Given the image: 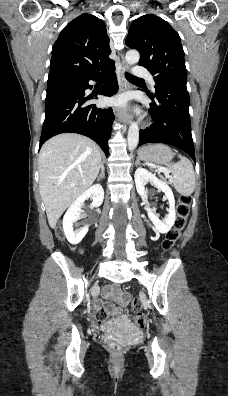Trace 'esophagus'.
Instances as JSON below:
<instances>
[{
  "label": "esophagus",
  "instance_id": "esophagus-1",
  "mask_svg": "<svg viewBox=\"0 0 228 396\" xmlns=\"http://www.w3.org/2000/svg\"><path fill=\"white\" fill-rule=\"evenodd\" d=\"M129 66L125 63L124 60H122L121 68H120V76H121V82H120V91H125L129 89V84L124 78V73L128 71ZM118 121L124 124H129L131 121V116L126 111L125 109H121L117 115Z\"/></svg>",
  "mask_w": 228,
  "mask_h": 396
}]
</instances>
